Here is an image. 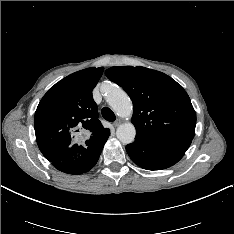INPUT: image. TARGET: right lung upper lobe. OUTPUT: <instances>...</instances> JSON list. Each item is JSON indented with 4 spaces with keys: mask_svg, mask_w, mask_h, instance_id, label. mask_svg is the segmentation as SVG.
<instances>
[{
    "mask_svg": "<svg viewBox=\"0 0 234 234\" xmlns=\"http://www.w3.org/2000/svg\"><path fill=\"white\" fill-rule=\"evenodd\" d=\"M104 68L75 72L51 87L34 118L38 147L52 164L78 158L106 133L98 120L92 90Z\"/></svg>",
    "mask_w": 234,
    "mask_h": 234,
    "instance_id": "1",
    "label": "right lung upper lobe"
}]
</instances>
